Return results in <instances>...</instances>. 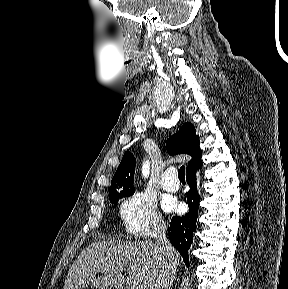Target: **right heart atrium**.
Masks as SVG:
<instances>
[{"label":"right heart atrium","mask_w":288,"mask_h":289,"mask_svg":"<svg viewBox=\"0 0 288 289\" xmlns=\"http://www.w3.org/2000/svg\"><path fill=\"white\" fill-rule=\"evenodd\" d=\"M120 214L126 232L136 238L154 237L163 228L156 204L143 192H134L122 203Z\"/></svg>","instance_id":"d8ad5b80"}]
</instances>
